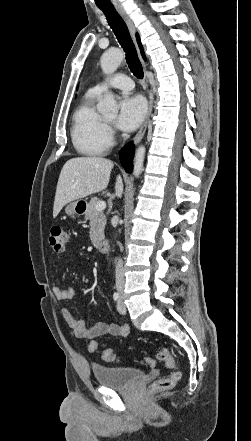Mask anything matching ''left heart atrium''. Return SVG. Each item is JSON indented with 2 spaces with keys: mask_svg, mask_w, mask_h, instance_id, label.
<instances>
[{
  "mask_svg": "<svg viewBox=\"0 0 251 441\" xmlns=\"http://www.w3.org/2000/svg\"><path fill=\"white\" fill-rule=\"evenodd\" d=\"M146 114V104L140 96H127L120 103L116 125L123 131L135 130Z\"/></svg>",
  "mask_w": 251,
  "mask_h": 441,
  "instance_id": "obj_1",
  "label": "left heart atrium"
}]
</instances>
